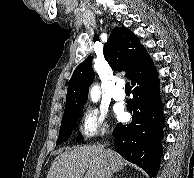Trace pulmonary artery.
I'll list each match as a JSON object with an SVG mask.
<instances>
[{
	"mask_svg": "<svg viewBox=\"0 0 194 178\" xmlns=\"http://www.w3.org/2000/svg\"><path fill=\"white\" fill-rule=\"evenodd\" d=\"M112 97L115 101H123L125 98V93L123 90V82L120 81L117 83L115 86L113 92H112Z\"/></svg>",
	"mask_w": 194,
	"mask_h": 178,
	"instance_id": "pulmonary-artery-1",
	"label": "pulmonary artery"
}]
</instances>
